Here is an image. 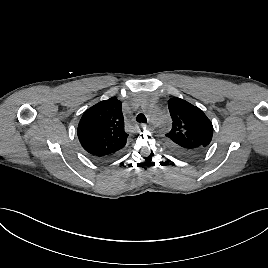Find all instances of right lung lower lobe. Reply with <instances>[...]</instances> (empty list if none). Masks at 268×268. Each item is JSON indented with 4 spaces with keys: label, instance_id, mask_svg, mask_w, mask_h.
Listing matches in <instances>:
<instances>
[{
    "label": "right lung lower lobe",
    "instance_id": "1",
    "mask_svg": "<svg viewBox=\"0 0 268 268\" xmlns=\"http://www.w3.org/2000/svg\"><path fill=\"white\" fill-rule=\"evenodd\" d=\"M116 154H114V155H109V156H93L94 158H96V159H99V160H110V159H112L114 156H115Z\"/></svg>",
    "mask_w": 268,
    "mask_h": 268
}]
</instances>
